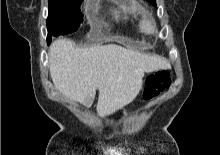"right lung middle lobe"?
Returning a JSON list of instances; mask_svg holds the SVG:
<instances>
[{"label": "right lung middle lobe", "mask_w": 220, "mask_h": 155, "mask_svg": "<svg viewBox=\"0 0 220 155\" xmlns=\"http://www.w3.org/2000/svg\"><path fill=\"white\" fill-rule=\"evenodd\" d=\"M81 3L82 0H49L48 44L52 36L70 34L78 29L83 21V14L80 11Z\"/></svg>", "instance_id": "obj_1"}]
</instances>
